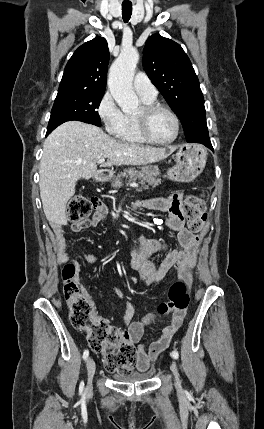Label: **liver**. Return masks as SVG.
<instances>
[{
  "instance_id": "liver-1",
  "label": "liver",
  "mask_w": 264,
  "mask_h": 429,
  "mask_svg": "<svg viewBox=\"0 0 264 429\" xmlns=\"http://www.w3.org/2000/svg\"><path fill=\"white\" fill-rule=\"evenodd\" d=\"M176 148L120 142L79 121L60 125L46 138L40 162L39 188L47 220L51 225H67L66 204L75 194L76 182L94 176L99 159H108L102 167L146 165L167 158Z\"/></svg>"
}]
</instances>
